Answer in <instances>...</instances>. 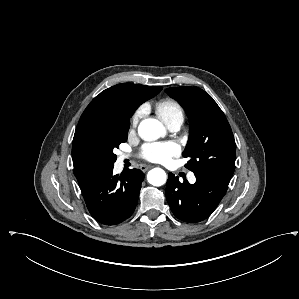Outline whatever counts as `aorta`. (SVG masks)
Here are the masks:
<instances>
[{
	"mask_svg": "<svg viewBox=\"0 0 299 299\" xmlns=\"http://www.w3.org/2000/svg\"><path fill=\"white\" fill-rule=\"evenodd\" d=\"M165 133L163 124L153 118L144 119L138 126L139 136L146 141L156 140ZM148 182L153 186H162L166 183L167 175L161 168H153L147 174Z\"/></svg>",
	"mask_w": 299,
	"mask_h": 299,
	"instance_id": "1",
	"label": "aorta"
}]
</instances>
